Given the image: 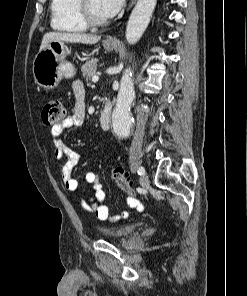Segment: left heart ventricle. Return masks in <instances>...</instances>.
Returning <instances> with one entry per match:
<instances>
[{"label":"left heart ventricle","instance_id":"left-heart-ventricle-1","mask_svg":"<svg viewBox=\"0 0 247 296\" xmlns=\"http://www.w3.org/2000/svg\"><path fill=\"white\" fill-rule=\"evenodd\" d=\"M88 7L95 18L106 19L100 12L99 0H88Z\"/></svg>","mask_w":247,"mask_h":296}]
</instances>
